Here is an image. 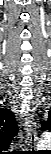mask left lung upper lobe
<instances>
[{
	"mask_svg": "<svg viewBox=\"0 0 51 154\" xmlns=\"http://www.w3.org/2000/svg\"><path fill=\"white\" fill-rule=\"evenodd\" d=\"M42 129H45V125L43 124V127H42Z\"/></svg>",
	"mask_w": 51,
	"mask_h": 154,
	"instance_id": "obj_1",
	"label": "left lung upper lobe"
}]
</instances>
